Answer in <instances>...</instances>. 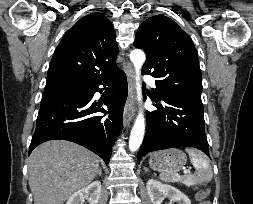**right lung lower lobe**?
<instances>
[{
    "mask_svg": "<svg viewBox=\"0 0 253 204\" xmlns=\"http://www.w3.org/2000/svg\"><path fill=\"white\" fill-rule=\"evenodd\" d=\"M99 85L111 88L105 101L108 111L92 99L95 92L102 91ZM127 94L126 75L117 70L109 77L88 85L82 93L42 99L29 154L45 141L61 139L88 148L108 164L112 146L121 131ZM97 112L109 113L110 116L105 119L94 115Z\"/></svg>",
    "mask_w": 253,
    "mask_h": 204,
    "instance_id": "right-lung-lower-lobe-1",
    "label": "right lung lower lobe"
}]
</instances>
